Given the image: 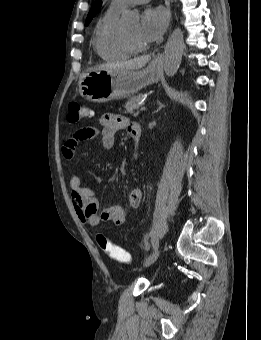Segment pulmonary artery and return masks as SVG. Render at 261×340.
<instances>
[{
    "label": "pulmonary artery",
    "mask_w": 261,
    "mask_h": 340,
    "mask_svg": "<svg viewBox=\"0 0 261 340\" xmlns=\"http://www.w3.org/2000/svg\"><path fill=\"white\" fill-rule=\"evenodd\" d=\"M149 0H112L110 7L116 10H122L128 5L144 4Z\"/></svg>",
    "instance_id": "e3ab8cb5"
}]
</instances>
